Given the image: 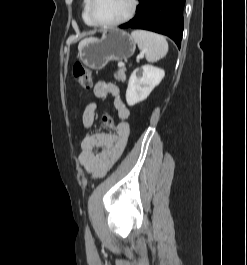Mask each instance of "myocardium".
Listing matches in <instances>:
<instances>
[{"instance_id": "f54148a6", "label": "myocardium", "mask_w": 247, "mask_h": 265, "mask_svg": "<svg viewBox=\"0 0 247 265\" xmlns=\"http://www.w3.org/2000/svg\"><path fill=\"white\" fill-rule=\"evenodd\" d=\"M94 3H95V0H89V5H88L89 18H90V20L94 26L99 27V28H103V29H111V28H115V27H118V26H121L123 24L128 23L136 15L137 10H138V6H139V0H131L130 10L124 17H122L121 19H119L117 21L111 22V23H101V22L97 21L95 16H94V10H93L94 9Z\"/></svg>"}]
</instances>
